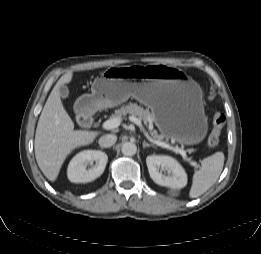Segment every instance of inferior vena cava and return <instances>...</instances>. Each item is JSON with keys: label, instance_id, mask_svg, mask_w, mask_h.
<instances>
[{"label": "inferior vena cava", "instance_id": "602c4592", "mask_svg": "<svg viewBox=\"0 0 261 254\" xmlns=\"http://www.w3.org/2000/svg\"><path fill=\"white\" fill-rule=\"evenodd\" d=\"M117 141V136L114 134H105L100 137L98 143L103 148L111 147Z\"/></svg>", "mask_w": 261, "mask_h": 254}]
</instances>
